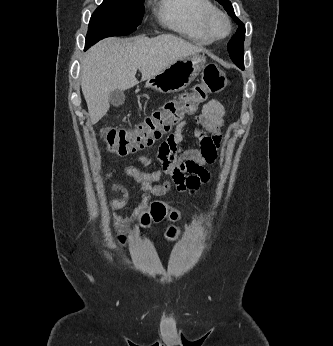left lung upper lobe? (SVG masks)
<instances>
[{
  "label": "left lung upper lobe",
  "instance_id": "left-lung-upper-lobe-1",
  "mask_svg": "<svg viewBox=\"0 0 333 346\" xmlns=\"http://www.w3.org/2000/svg\"><path fill=\"white\" fill-rule=\"evenodd\" d=\"M227 11V13L233 17V20L239 25L236 34L228 43L227 50L230 54L233 62L240 68H244L243 56H244V39H245V25L235 16L233 7L229 0H216Z\"/></svg>",
  "mask_w": 333,
  "mask_h": 346
}]
</instances>
